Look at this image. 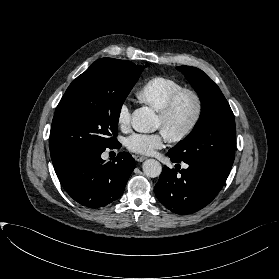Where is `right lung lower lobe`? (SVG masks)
Listing matches in <instances>:
<instances>
[{
  "label": "right lung lower lobe",
  "mask_w": 279,
  "mask_h": 279,
  "mask_svg": "<svg viewBox=\"0 0 279 279\" xmlns=\"http://www.w3.org/2000/svg\"><path fill=\"white\" fill-rule=\"evenodd\" d=\"M120 146L117 142L110 149ZM104 151L97 150L53 162L62 187L82 206L100 208L117 200L135 168V160L129 153L121 152L112 161L105 162L101 158Z\"/></svg>",
  "instance_id": "98d812e1"
}]
</instances>
